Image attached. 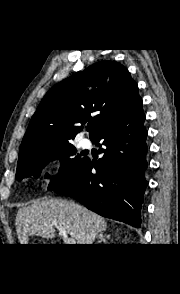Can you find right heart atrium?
I'll return each instance as SVG.
<instances>
[{
  "label": "right heart atrium",
  "instance_id": "obj_1",
  "mask_svg": "<svg viewBox=\"0 0 180 294\" xmlns=\"http://www.w3.org/2000/svg\"><path fill=\"white\" fill-rule=\"evenodd\" d=\"M57 167V165L56 164H53L52 165V171L48 174V180L49 181H52V179L54 178V170H55V168Z\"/></svg>",
  "mask_w": 180,
  "mask_h": 294
}]
</instances>
